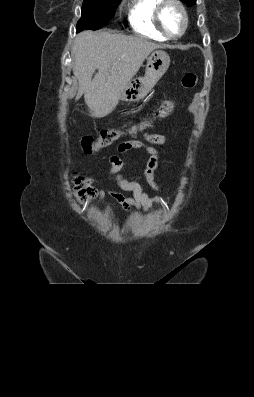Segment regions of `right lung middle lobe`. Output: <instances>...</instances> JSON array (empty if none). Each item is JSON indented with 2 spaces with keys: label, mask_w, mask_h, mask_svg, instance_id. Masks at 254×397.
<instances>
[{
  "label": "right lung middle lobe",
  "mask_w": 254,
  "mask_h": 397,
  "mask_svg": "<svg viewBox=\"0 0 254 397\" xmlns=\"http://www.w3.org/2000/svg\"><path fill=\"white\" fill-rule=\"evenodd\" d=\"M120 2L121 0H84L82 17L76 26L77 32L97 30L108 24Z\"/></svg>",
  "instance_id": "1"
}]
</instances>
